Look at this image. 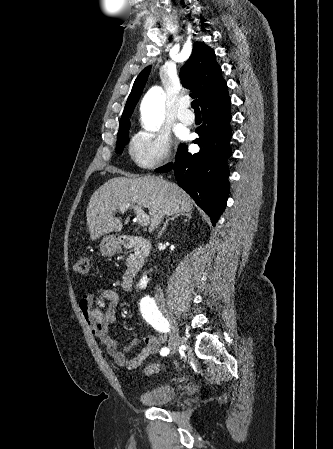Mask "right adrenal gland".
<instances>
[{
	"label": "right adrenal gland",
	"mask_w": 333,
	"mask_h": 449,
	"mask_svg": "<svg viewBox=\"0 0 333 449\" xmlns=\"http://www.w3.org/2000/svg\"><path fill=\"white\" fill-rule=\"evenodd\" d=\"M179 216H186V218L191 219V213H188V212L183 213V214H176V215H174L172 218H169V219L166 220V222L164 223V225H163L161 231L159 232V236H160V235L162 234V232L165 230V228H166L168 222H169L170 220L174 221V220H175L176 218H178Z\"/></svg>",
	"instance_id": "2a0ac1e0"
}]
</instances>
